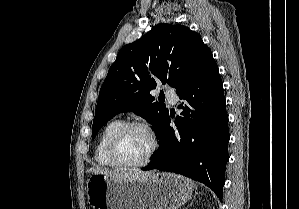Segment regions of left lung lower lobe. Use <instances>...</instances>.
I'll list each match as a JSON object with an SVG mask.
<instances>
[{
	"label": "left lung lower lobe",
	"mask_w": 299,
	"mask_h": 209,
	"mask_svg": "<svg viewBox=\"0 0 299 209\" xmlns=\"http://www.w3.org/2000/svg\"><path fill=\"white\" fill-rule=\"evenodd\" d=\"M184 102L170 127V116L158 132L159 149L143 170L159 169L185 175L210 187L222 201L228 155V115L223 83L212 57L176 90Z\"/></svg>",
	"instance_id": "0a47b994"
}]
</instances>
